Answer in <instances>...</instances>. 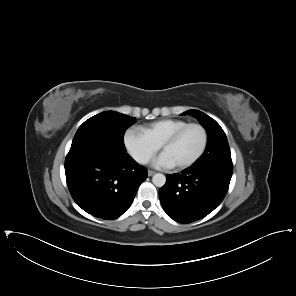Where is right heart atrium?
I'll return each mask as SVG.
<instances>
[{"label":"right heart atrium","mask_w":296,"mask_h":296,"mask_svg":"<svg viewBox=\"0 0 296 296\" xmlns=\"http://www.w3.org/2000/svg\"><path fill=\"white\" fill-rule=\"evenodd\" d=\"M124 144L133 158L142 164L149 162L159 150V146L139 128L126 132Z\"/></svg>","instance_id":"obj_1"}]
</instances>
